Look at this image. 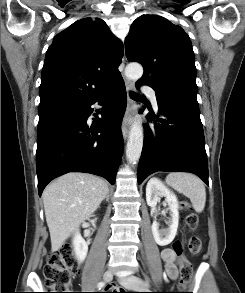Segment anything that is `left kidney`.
Listing matches in <instances>:
<instances>
[{"instance_id": "left-kidney-1", "label": "left kidney", "mask_w": 245, "mask_h": 293, "mask_svg": "<svg viewBox=\"0 0 245 293\" xmlns=\"http://www.w3.org/2000/svg\"><path fill=\"white\" fill-rule=\"evenodd\" d=\"M165 197L168 203L171 219L166 229L159 230V224L156 220L152 224V234L155 242L160 246L170 244L176 236L179 222V204L177 197L172 193L159 179L151 178L146 186V201L153 212L156 211V205L160 197Z\"/></svg>"}]
</instances>
